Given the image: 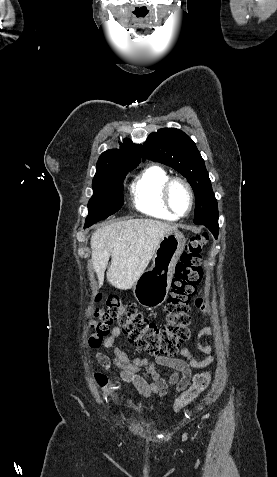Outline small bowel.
I'll return each instance as SVG.
<instances>
[{
    "label": "small bowel",
    "instance_id": "small-bowel-1",
    "mask_svg": "<svg viewBox=\"0 0 277 477\" xmlns=\"http://www.w3.org/2000/svg\"><path fill=\"white\" fill-rule=\"evenodd\" d=\"M195 304L204 310L207 308L205 300L201 297L195 300ZM121 332L120 327H114L110 335L103 340V347L113 348L115 340ZM213 335L214 331L210 327H204L198 334V349L206 355L202 360L195 359L187 348L180 350V354L186 360L157 355L155 360L151 361L147 357L130 358L123 350L114 347L113 362L119 368L121 379L131 383L146 398H150L154 394L163 396L170 388L181 392L188 386L193 368H205L213 362L214 347L203 342L206 337ZM96 358L103 366L109 365L108 357L102 353H97ZM158 366L165 367L171 372L168 381L160 377Z\"/></svg>",
    "mask_w": 277,
    "mask_h": 477
}]
</instances>
